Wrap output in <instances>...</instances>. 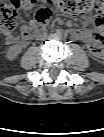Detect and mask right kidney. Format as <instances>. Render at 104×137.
Listing matches in <instances>:
<instances>
[{
  "label": "right kidney",
  "mask_w": 104,
  "mask_h": 137,
  "mask_svg": "<svg viewBox=\"0 0 104 137\" xmlns=\"http://www.w3.org/2000/svg\"><path fill=\"white\" fill-rule=\"evenodd\" d=\"M19 52H20V49L18 47L11 46V47H9V49L6 52V57L9 60H14L17 57V55L19 54Z\"/></svg>",
  "instance_id": "1"
}]
</instances>
